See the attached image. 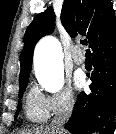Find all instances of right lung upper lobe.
Returning <instances> with one entry per match:
<instances>
[{
    "label": "right lung upper lobe",
    "instance_id": "1",
    "mask_svg": "<svg viewBox=\"0 0 116 134\" xmlns=\"http://www.w3.org/2000/svg\"><path fill=\"white\" fill-rule=\"evenodd\" d=\"M55 14L52 7L38 14L24 35V49L20 56V87L26 81L32 69L33 51L36 43L54 30ZM61 22L74 38L80 34L86 36L89 47L103 42L116 31V18L110 0H64Z\"/></svg>",
    "mask_w": 116,
    "mask_h": 134
}]
</instances>
